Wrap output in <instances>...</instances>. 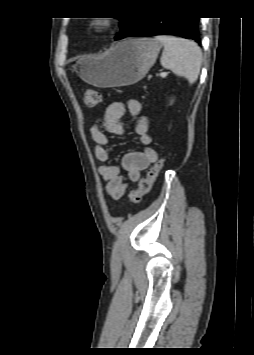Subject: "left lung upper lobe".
<instances>
[{
  "label": "left lung upper lobe",
  "mask_w": 254,
  "mask_h": 355,
  "mask_svg": "<svg viewBox=\"0 0 254 355\" xmlns=\"http://www.w3.org/2000/svg\"><path fill=\"white\" fill-rule=\"evenodd\" d=\"M121 21V31L115 37L116 40L125 35L135 24L136 18H119Z\"/></svg>",
  "instance_id": "1"
}]
</instances>
